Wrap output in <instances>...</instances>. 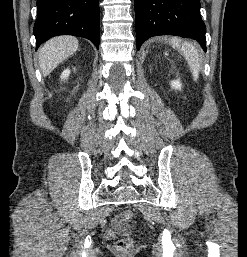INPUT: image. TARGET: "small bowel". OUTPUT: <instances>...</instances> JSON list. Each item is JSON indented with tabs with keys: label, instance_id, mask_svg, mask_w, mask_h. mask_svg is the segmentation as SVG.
I'll use <instances>...</instances> for the list:
<instances>
[{
	"label": "small bowel",
	"instance_id": "1",
	"mask_svg": "<svg viewBox=\"0 0 247 257\" xmlns=\"http://www.w3.org/2000/svg\"><path fill=\"white\" fill-rule=\"evenodd\" d=\"M113 226H114V229L117 231V232H124L126 229H125V226H124V223H123V220L121 217L119 216H116L114 219H113Z\"/></svg>",
	"mask_w": 247,
	"mask_h": 257
}]
</instances>
